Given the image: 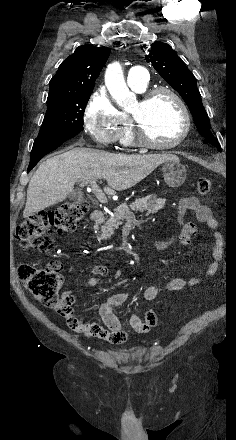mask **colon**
Here are the masks:
<instances>
[{
	"mask_svg": "<svg viewBox=\"0 0 236 440\" xmlns=\"http://www.w3.org/2000/svg\"><path fill=\"white\" fill-rule=\"evenodd\" d=\"M200 194H208L212 189L209 178L200 177L197 181ZM88 210V203L84 199L69 201L56 210L38 212L25 219L17 228V238L22 247L41 253L49 254L54 248L51 235L64 234L75 231ZM18 276L26 289L43 305L54 308L60 315L69 321H81L66 315L69 301L60 294L64 278L60 267L51 263L45 267H38L30 263H22L18 267ZM144 324L150 328L157 326L158 317L153 311H148L144 317Z\"/></svg>",
	"mask_w": 236,
	"mask_h": 440,
	"instance_id": "5ec220e1",
	"label": "colon"
}]
</instances>
